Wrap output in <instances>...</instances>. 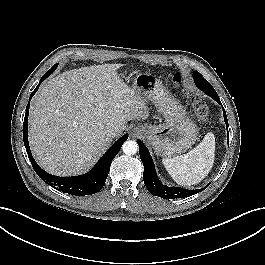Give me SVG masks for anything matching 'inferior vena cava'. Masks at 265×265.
Wrapping results in <instances>:
<instances>
[{
  "label": "inferior vena cava",
  "mask_w": 265,
  "mask_h": 265,
  "mask_svg": "<svg viewBox=\"0 0 265 265\" xmlns=\"http://www.w3.org/2000/svg\"><path fill=\"white\" fill-rule=\"evenodd\" d=\"M116 135V131L114 128H110L107 130V136L114 137Z\"/></svg>",
  "instance_id": "inferior-vena-cava-1"
}]
</instances>
